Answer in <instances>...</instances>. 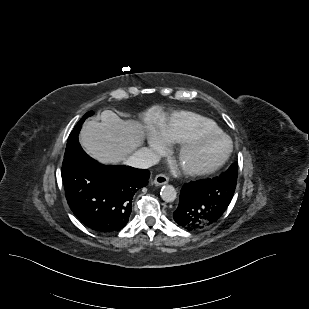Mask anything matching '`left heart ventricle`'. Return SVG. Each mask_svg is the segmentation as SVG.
I'll return each instance as SVG.
<instances>
[{"label": "left heart ventricle", "mask_w": 309, "mask_h": 309, "mask_svg": "<svg viewBox=\"0 0 309 309\" xmlns=\"http://www.w3.org/2000/svg\"><path fill=\"white\" fill-rule=\"evenodd\" d=\"M227 149L223 139H210L201 142L188 151L180 160V164L188 167H207L218 161Z\"/></svg>", "instance_id": "obj_1"}]
</instances>
